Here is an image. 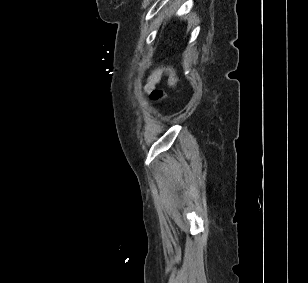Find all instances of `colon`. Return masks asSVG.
Listing matches in <instances>:
<instances>
[{
  "mask_svg": "<svg viewBox=\"0 0 308 283\" xmlns=\"http://www.w3.org/2000/svg\"><path fill=\"white\" fill-rule=\"evenodd\" d=\"M163 94L157 90H154L151 92V99L154 101H158L160 99H162Z\"/></svg>",
  "mask_w": 308,
  "mask_h": 283,
  "instance_id": "1",
  "label": "colon"
}]
</instances>
